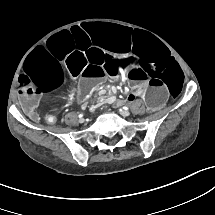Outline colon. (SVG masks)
Wrapping results in <instances>:
<instances>
[{"label": "colon", "instance_id": "colon-1", "mask_svg": "<svg viewBox=\"0 0 215 215\" xmlns=\"http://www.w3.org/2000/svg\"><path fill=\"white\" fill-rule=\"evenodd\" d=\"M44 120L48 124H53L56 120V116L53 113H46Z\"/></svg>", "mask_w": 215, "mask_h": 215}]
</instances>
